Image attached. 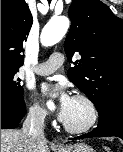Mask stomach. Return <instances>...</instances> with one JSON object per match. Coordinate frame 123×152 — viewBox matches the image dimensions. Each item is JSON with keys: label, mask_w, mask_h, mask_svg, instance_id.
<instances>
[{"label": "stomach", "mask_w": 123, "mask_h": 152, "mask_svg": "<svg viewBox=\"0 0 123 152\" xmlns=\"http://www.w3.org/2000/svg\"><path fill=\"white\" fill-rule=\"evenodd\" d=\"M58 152H94V150L86 144L80 143L59 148Z\"/></svg>", "instance_id": "stomach-1"}]
</instances>
